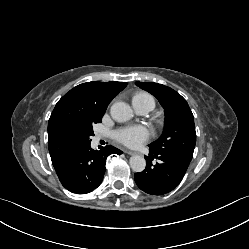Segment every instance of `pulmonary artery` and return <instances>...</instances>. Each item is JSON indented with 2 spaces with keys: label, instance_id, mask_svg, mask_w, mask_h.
I'll use <instances>...</instances> for the list:
<instances>
[{
  "label": "pulmonary artery",
  "instance_id": "e3ab8cb5",
  "mask_svg": "<svg viewBox=\"0 0 249 249\" xmlns=\"http://www.w3.org/2000/svg\"><path fill=\"white\" fill-rule=\"evenodd\" d=\"M135 110L140 114H147L154 108V102L147 100L140 104H133Z\"/></svg>",
  "mask_w": 249,
  "mask_h": 249
}]
</instances>
